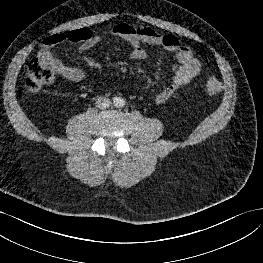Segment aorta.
I'll list each match as a JSON object with an SVG mask.
<instances>
[{
  "label": "aorta",
  "mask_w": 263,
  "mask_h": 263,
  "mask_svg": "<svg viewBox=\"0 0 263 263\" xmlns=\"http://www.w3.org/2000/svg\"><path fill=\"white\" fill-rule=\"evenodd\" d=\"M114 105L117 107H123L125 105V100L123 98L120 97H116L114 98Z\"/></svg>",
  "instance_id": "1"
}]
</instances>
